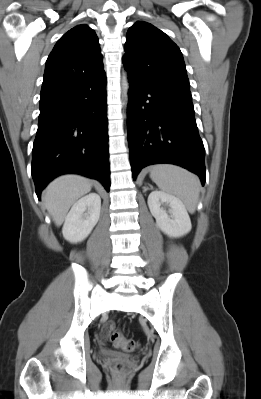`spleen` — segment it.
Returning a JSON list of instances; mask_svg holds the SVG:
<instances>
[{
    "label": "spleen",
    "mask_w": 261,
    "mask_h": 399,
    "mask_svg": "<svg viewBox=\"0 0 261 399\" xmlns=\"http://www.w3.org/2000/svg\"><path fill=\"white\" fill-rule=\"evenodd\" d=\"M150 177L162 191L176 195L190 213H194L199 200L200 181L189 171L168 164L151 167Z\"/></svg>",
    "instance_id": "spleen-1"
}]
</instances>
